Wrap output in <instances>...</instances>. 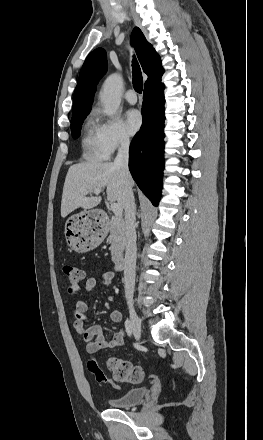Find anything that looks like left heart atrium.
Returning a JSON list of instances; mask_svg holds the SVG:
<instances>
[{
	"mask_svg": "<svg viewBox=\"0 0 263 440\" xmlns=\"http://www.w3.org/2000/svg\"><path fill=\"white\" fill-rule=\"evenodd\" d=\"M142 116L139 111L132 109L125 115V127L129 134H135L142 126Z\"/></svg>",
	"mask_w": 263,
	"mask_h": 440,
	"instance_id": "obj_1",
	"label": "left heart atrium"
}]
</instances>
